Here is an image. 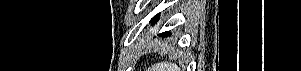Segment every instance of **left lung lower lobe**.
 Wrapping results in <instances>:
<instances>
[{
	"instance_id": "0a47b994",
	"label": "left lung lower lobe",
	"mask_w": 301,
	"mask_h": 71,
	"mask_svg": "<svg viewBox=\"0 0 301 71\" xmlns=\"http://www.w3.org/2000/svg\"><path fill=\"white\" fill-rule=\"evenodd\" d=\"M158 19H159V16L158 15H156L153 19H151V23H152V25L153 24H155L157 21H158ZM171 34H170V32H164V33H161V34H159V36L160 37H168V36H170Z\"/></svg>"
}]
</instances>
